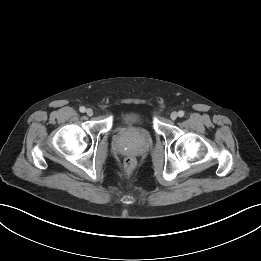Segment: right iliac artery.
I'll return each instance as SVG.
<instances>
[{"label":"right iliac artery","instance_id":"82829eb1","mask_svg":"<svg viewBox=\"0 0 261 261\" xmlns=\"http://www.w3.org/2000/svg\"><path fill=\"white\" fill-rule=\"evenodd\" d=\"M79 110H80V112L84 113L86 109H85L84 106H81V107L79 108Z\"/></svg>","mask_w":261,"mask_h":261}]
</instances>
